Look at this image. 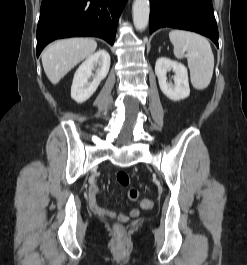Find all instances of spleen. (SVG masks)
I'll use <instances>...</instances> for the list:
<instances>
[{"mask_svg":"<svg viewBox=\"0 0 247 265\" xmlns=\"http://www.w3.org/2000/svg\"><path fill=\"white\" fill-rule=\"evenodd\" d=\"M169 39L174 46L175 57L181 59L186 53L193 87L206 89L214 70V56L208 40L197 33L183 30H172Z\"/></svg>","mask_w":247,"mask_h":265,"instance_id":"spleen-1","label":"spleen"}]
</instances>
